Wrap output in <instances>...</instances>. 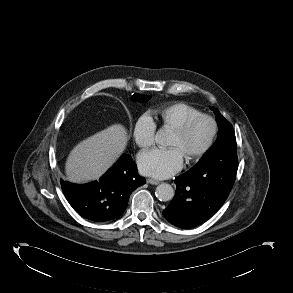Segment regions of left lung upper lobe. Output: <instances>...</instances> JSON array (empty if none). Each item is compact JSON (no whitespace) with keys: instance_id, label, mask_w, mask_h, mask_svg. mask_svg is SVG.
<instances>
[{"instance_id":"1","label":"left lung upper lobe","mask_w":293,"mask_h":293,"mask_svg":"<svg viewBox=\"0 0 293 293\" xmlns=\"http://www.w3.org/2000/svg\"><path fill=\"white\" fill-rule=\"evenodd\" d=\"M209 108L216 115L219 126L218 138L194 167H215L227 165L237 160L236 137L232 125L220 114L217 108L211 106Z\"/></svg>"}]
</instances>
